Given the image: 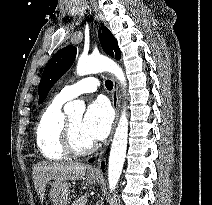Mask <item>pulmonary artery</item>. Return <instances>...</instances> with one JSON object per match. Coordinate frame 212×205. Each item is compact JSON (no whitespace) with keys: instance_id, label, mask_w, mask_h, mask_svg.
<instances>
[{"instance_id":"1","label":"pulmonary artery","mask_w":212,"mask_h":205,"mask_svg":"<svg viewBox=\"0 0 212 205\" xmlns=\"http://www.w3.org/2000/svg\"><path fill=\"white\" fill-rule=\"evenodd\" d=\"M99 87L96 77H86L72 85L65 86L57 95L59 98L68 101L84 93H93Z\"/></svg>"}]
</instances>
